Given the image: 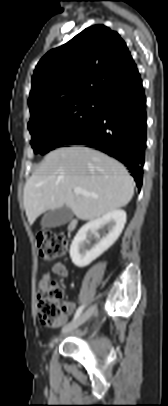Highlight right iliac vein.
Returning <instances> with one entry per match:
<instances>
[{
	"label": "right iliac vein",
	"instance_id": "63e3f726",
	"mask_svg": "<svg viewBox=\"0 0 168 406\" xmlns=\"http://www.w3.org/2000/svg\"><path fill=\"white\" fill-rule=\"evenodd\" d=\"M96 311V305H93L89 309H87L83 314H81L75 321H73L71 324L65 326L61 333L62 334H67L76 328H78L80 325H82L85 321H87Z\"/></svg>",
	"mask_w": 168,
	"mask_h": 406
}]
</instances>
